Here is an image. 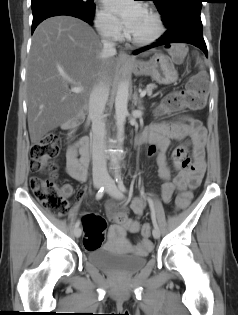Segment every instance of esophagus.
I'll use <instances>...</instances> for the list:
<instances>
[{"mask_svg": "<svg viewBox=\"0 0 238 315\" xmlns=\"http://www.w3.org/2000/svg\"><path fill=\"white\" fill-rule=\"evenodd\" d=\"M119 59L125 62H132L131 57L127 53L122 51L119 53Z\"/></svg>", "mask_w": 238, "mask_h": 315, "instance_id": "34e87169", "label": "esophagus"}]
</instances>
